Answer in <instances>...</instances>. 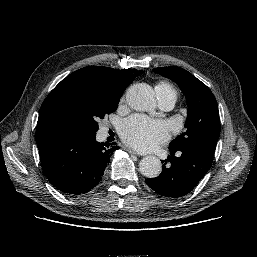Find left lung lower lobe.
<instances>
[{
    "mask_svg": "<svg viewBox=\"0 0 257 257\" xmlns=\"http://www.w3.org/2000/svg\"><path fill=\"white\" fill-rule=\"evenodd\" d=\"M169 149L172 157L161 161V174L146 179V183L161 196L178 198L191 192L203 178L212 165L214 152L200 146Z\"/></svg>",
    "mask_w": 257,
    "mask_h": 257,
    "instance_id": "0a47b994",
    "label": "left lung lower lobe"
}]
</instances>
